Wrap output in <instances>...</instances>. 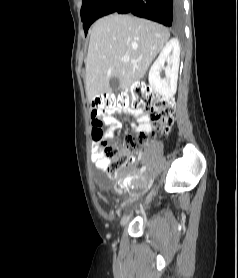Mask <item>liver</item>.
<instances>
[{"label": "liver", "instance_id": "liver-1", "mask_svg": "<svg viewBox=\"0 0 238 278\" xmlns=\"http://www.w3.org/2000/svg\"><path fill=\"white\" fill-rule=\"evenodd\" d=\"M169 38L164 26L131 15L112 14L97 20L85 63L88 99L110 92L113 77L119 80V89L142 79ZM124 56L130 60L123 61Z\"/></svg>", "mask_w": 238, "mask_h": 278}]
</instances>
